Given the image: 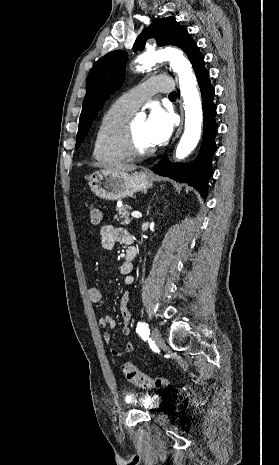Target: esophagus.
Masks as SVG:
<instances>
[{
    "mask_svg": "<svg viewBox=\"0 0 279 465\" xmlns=\"http://www.w3.org/2000/svg\"><path fill=\"white\" fill-rule=\"evenodd\" d=\"M182 124H183V121H182V123H181V125H180V127H179V129H178V132H177V134H176V137L179 136V134H180V132H181V130H182Z\"/></svg>",
    "mask_w": 279,
    "mask_h": 465,
    "instance_id": "obj_1",
    "label": "esophagus"
}]
</instances>
